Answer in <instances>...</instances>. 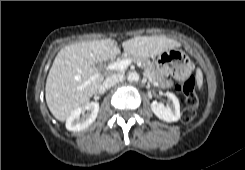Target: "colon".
Wrapping results in <instances>:
<instances>
[{"label":"colon","mask_w":245,"mask_h":170,"mask_svg":"<svg viewBox=\"0 0 245 170\" xmlns=\"http://www.w3.org/2000/svg\"><path fill=\"white\" fill-rule=\"evenodd\" d=\"M190 69L191 64L189 60L184 59L182 72L185 74ZM175 89L177 92L185 95V107L182 114V120L185 123H188L193 119L198 108V96L195 92V82L190 77H184L176 83Z\"/></svg>","instance_id":"1"}]
</instances>
